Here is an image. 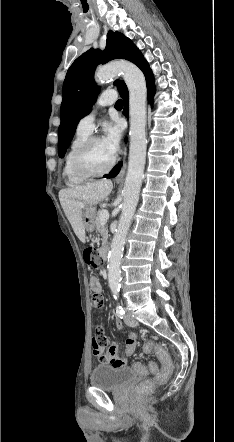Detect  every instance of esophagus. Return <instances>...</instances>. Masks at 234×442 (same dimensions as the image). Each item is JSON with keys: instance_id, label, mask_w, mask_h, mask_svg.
Returning a JSON list of instances; mask_svg holds the SVG:
<instances>
[{"instance_id": "obj_1", "label": "esophagus", "mask_w": 234, "mask_h": 442, "mask_svg": "<svg viewBox=\"0 0 234 442\" xmlns=\"http://www.w3.org/2000/svg\"><path fill=\"white\" fill-rule=\"evenodd\" d=\"M124 156H126V149H125V152H124ZM125 172H126V161L124 160L120 171L118 172V174L115 177V181L116 182L123 181L124 180V176H125Z\"/></svg>"}]
</instances>
